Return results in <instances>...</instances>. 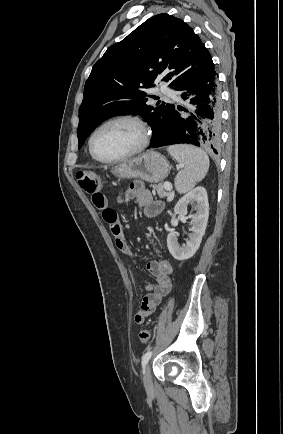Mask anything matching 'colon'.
<instances>
[{"label": "colon", "instance_id": "1", "mask_svg": "<svg viewBox=\"0 0 283 434\" xmlns=\"http://www.w3.org/2000/svg\"><path fill=\"white\" fill-rule=\"evenodd\" d=\"M77 180L85 192L89 194L98 192L100 187V179L97 173L92 171H79L77 173ZM150 336V331L144 329L139 333V340L142 344H146L149 341Z\"/></svg>", "mask_w": 283, "mask_h": 434}]
</instances>
